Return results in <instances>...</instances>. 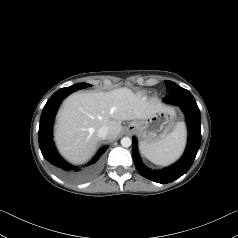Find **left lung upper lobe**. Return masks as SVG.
<instances>
[{
    "instance_id": "left-lung-upper-lobe-1",
    "label": "left lung upper lobe",
    "mask_w": 238,
    "mask_h": 238,
    "mask_svg": "<svg viewBox=\"0 0 238 238\" xmlns=\"http://www.w3.org/2000/svg\"><path fill=\"white\" fill-rule=\"evenodd\" d=\"M165 84H166V89L169 93L180 88V86L176 85L174 82L169 81V80H166Z\"/></svg>"
}]
</instances>
